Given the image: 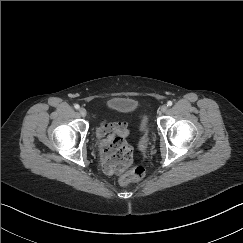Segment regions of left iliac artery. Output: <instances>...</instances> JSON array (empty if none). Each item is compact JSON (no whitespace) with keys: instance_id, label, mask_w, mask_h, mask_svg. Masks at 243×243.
Listing matches in <instances>:
<instances>
[{"instance_id":"obj_1","label":"left iliac artery","mask_w":243,"mask_h":243,"mask_svg":"<svg viewBox=\"0 0 243 243\" xmlns=\"http://www.w3.org/2000/svg\"><path fill=\"white\" fill-rule=\"evenodd\" d=\"M172 104H173L172 101L167 102V106H172Z\"/></svg>"}]
</instances>
